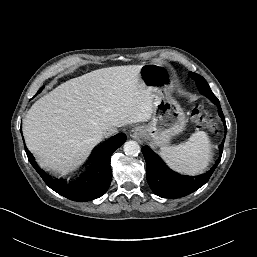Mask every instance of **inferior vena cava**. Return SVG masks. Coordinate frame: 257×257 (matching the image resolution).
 <instances>
[{
	"label": "inferior vena cava",
	"instance_id": "obj_1",
	"mask_svg": "<svg viewBox=\"0 0 257 257\" xmlns=\"http://www.w3.org/2000/svg\"><path fill=\"white\" fill-rule=\"evenodd\" d=\"M116 133H117V129L116 128H109L108 130L102 132L101 136L103 138H108V137H110V136H112V135H114Z\"/></svg>",
	"mask_w": 257,
	"mask_h": 257
}]
</instances>
